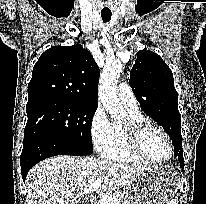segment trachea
<instances>
[{
	"label": "trachea",
	"instance_id": "obj_1",
	"mask_svg": "<svg viewBox=\"0 0 206 204\" xmlns=\"http://www.w3.org/2000/svg\"><path fill=\"white\" fill-rule=\"evenodd\" d=\"M101 17H102L103 22L107 23L111 19V13H104V12L102 13L101 12Z\"/></svg>",
	"mask_w": 206,
	"mask_h": 204
}]
</instances>
